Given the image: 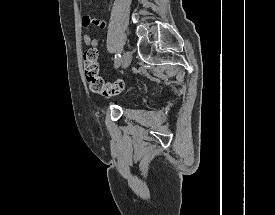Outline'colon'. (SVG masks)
Returning a JSON list of instances; mask_svg holds the SVG:
<instances>
[{"label": "colon", "instance_id": "1", "mask_svg": "<svg viewBox=\"0 0 275 215\" xmlns=\"http://www.w3.org/2000/svg\"><path fill=\"white\" fill-rule=\"evenodd\" d=\"M83 68L90 90L103 96H113L123 91L125 83L117 80L107 83L99 75L98 52L95 48H88L83 54Z\"/></svg>", "mask_w": 275, "mask_h": 215}]
</instances>
